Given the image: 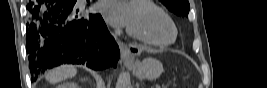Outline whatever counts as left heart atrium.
I'll return each instance as SVG.
<instances>
[{"mask_svg":"<svg viewBox=\"0 0 267 88\" xmlns=\"http://www.w3.org/2000/svg\"><path fill=\"white\" fill-rule=\"evenodd\" d=\"M99 9L105 20L114 26H128L131 19V5L123 1H102Z\"/></svg>","mask_w":267,"mask_h":88,"instance_id":"left-heart-atrium-1","label":"left heart atrium"}]
</instances>
